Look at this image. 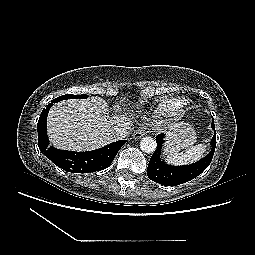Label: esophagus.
<instances>
[{
	"mask_svg": "<svg viewBox=\"0 0 255 255\" xmlns=\"http://www.w3.org/2000/svg\"><path fill=\"white\" fill-rule=\"evenodd\" d=\"M146 134V130L144 128L137 129L134 134L133 138L134 139H140Z\"/></svg>",
	"mask_w": 255,
	"mask_h": 255,
	"instance_id": "1",
	"label": "esophagus"
}]
</instances>
